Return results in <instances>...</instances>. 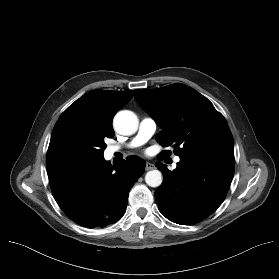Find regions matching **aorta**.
<instances>
[{"label":"aorta","instance_id":"762f6f07","mask_svg":"<svg viewBox=\"0 0 279 279\" xmlns=\"http://www.w3.org/2000/svg\"><path fill=\"white\" fill-rule=\"evenodd\" d=\"M137 116L128 110L119 111L113 120V126L121 135H132L138 129ZM163 181L162 173L159 170H151L145 175V182L151 187H158Z\"/></svg>","mask_w":279,"mask_h":279}]
</instances>
